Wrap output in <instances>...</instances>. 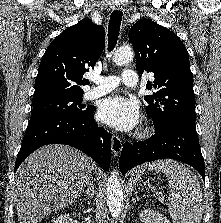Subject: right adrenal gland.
<instances>
[{"label": "right adrenal gland", "instance_id": "1", "mask_svg": "<svg viewBox=\"0 0 221 223\" xmlns=\"http://www.w3.org/2000/svg\"><path fill=\"white\" fill-rule=\"evenodd\" d=\"M88 188L85 192H82V196H87V203L90 204L91 201H89L90 199H92L94 197V194H95V190H94V184H93V181L91 180L88 184H87Z\"/></svg>", "mask_w": 221, "mask_h": 223}]
</instances>
